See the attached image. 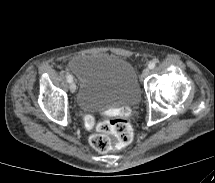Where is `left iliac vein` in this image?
<instances>
[{
  "instance_id": "obj_1",
  "label": "left iliac vein",
  "mask_w": 215,
  "mask_h": 183,
  "mask_svg": "<svg viewBox=\"0 0 215 183\" xmlns=\"http://www.w3.org/2000/svg\"><path fill=\"white\" fill-rule=\"evenodd\" d=\"M149 74H150L149 68H145V69L143 70L142 76L145 78V77H147Z\"/></svg>"
}]
</instances>
